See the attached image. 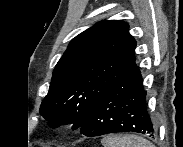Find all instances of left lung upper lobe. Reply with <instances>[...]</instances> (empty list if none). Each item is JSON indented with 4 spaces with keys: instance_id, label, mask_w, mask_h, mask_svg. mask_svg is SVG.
Segmentation results:
<instances>
[{
    "instance_id": "5c2ea615",
    "label": "left lung upper lobe",
    "mask_w": 183,
    "mask_h": 147,
    "mask_svg": "<svg viewBox=\"0 0 183 147\" xmlns=\"http://www.w3.org/2000/svg\"><path fill=\"white\" fill-rule=\"evenodd\" d=\"M128 28L120 20L101 21L71 40L40 107L52 127L80 128L106 90L136 65Z\"/></svg>"
}]
</instances>
